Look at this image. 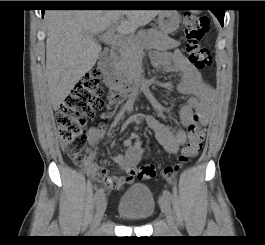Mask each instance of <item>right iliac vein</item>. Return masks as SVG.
Segmentation results:
<instances>
[{
	"label": "right iliac vein",
	"mask_w": 265,
	"mask_h": 245,
	"mask_svg": "<svg viewBox=\"0 0 265 245\" xmlns=\"http://www.w3.org/2000/svg\"><path fill=\"white\" fill-rule=\"evenodd\" d=\"M106 210V200L104 197H102L99 202L96 205V210L94 214V219H93V229L88 232V236H94L95 235V228L100 224L103 215Z\"/></svg>",
	"instance_id": "63e3f726"
}]
</instances>
